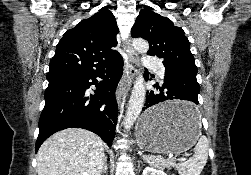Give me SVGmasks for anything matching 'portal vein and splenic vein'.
<instances>
[{
	"instance_id": "obj_1",
	"label": "portal vein and splenic vein",
	"mask_w": 251,
	"mask_h": 175,
	"mask_svg": "<svg viewBox=\"0 0 251 175\" xmlns=\"http://www.w3.org/2000/svg\"><path fill=\"white\" fill-rule=\"evenodd\" d=\"M166 157L174 158L175 154L174 153H169V154H166ZM177 161H179V162H187L188 158L187 157H179V158H177Z\"/></svg>"
}]
</instances>
